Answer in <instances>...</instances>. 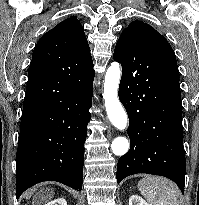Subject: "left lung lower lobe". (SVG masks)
Segmentation results:
<instances>
[{
	"mask_svg": "<svg viewBox=\"0 0 199 205\" xmlns=\"http://www.w3.org/2000/svg\"><path fill=\"white\" fill-rule=\"evenodd\" d=\"M114 60L122 65L119 99L129 116L130 150L117 164V182L147 173L167 177L184 193L186 159L183 147L179 78L150 48L121 35Z\"/></svg>",
	"mask_w": 199,
	"mask_h": 205,
	"instance_id": "left-lung-lower-lobe-1",
	"label": "left lung lower lobe"
}]
</instances>
